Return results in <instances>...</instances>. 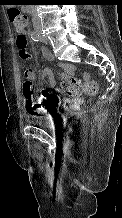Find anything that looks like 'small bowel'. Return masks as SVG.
<instances>
[{
  "mask_svg": "<svg viewBox=\"0 0 122 218\" xmlns=\"http://www.w3.org/2000/svg\"><path fill=\"white\" fill-rule=\"evenodd\" d=\"M20 35L26 39L27 33L25 31H23V32H21ZM43 54L46 58H48V59L51 58V56L47 50H43ZM59 68L61 70L59 73V77L62 80H64L65 78L71 77V75L73 74V67L70 64L60 63ZM46 77L49 78L50 87L55 88L56 85H55V82L53 80V74H52L51 69H49V68L44 69V71L42 73V78H46ZM29 78L31 80H35V74L33 71H29ZM95 85H96V83H95ZM50 97H51V93L49 91H47L45 89L40 91L39 97L37 99L34 98V106L36 108V113L42 114V113L46 112V105L49 103ZM24 100H25V96H24ZM67 102L70 104H73V105L77 103L76 101H70V100H67Z\"/></svg>",
  "mask_w": 122,
  "mask_h": 218,
  "instance_id": "small-bowel-1",
  "label": "small bowel"
}]
</instances>
